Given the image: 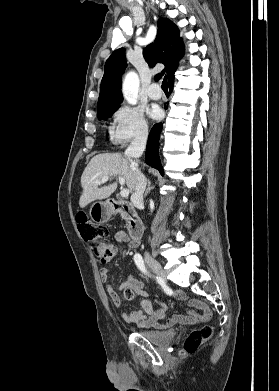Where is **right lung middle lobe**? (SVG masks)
Masks as SVG:
<instances>
[{
    "label": "right lung middle lobe",
    "instance_id": "1",
    "mask_svg": "<svg viewBox=\"0 0 279 391\" xmlns=\"http://www.w3.org/2000/svg\"><path fill=\"white\" fill-rule=\"evenodd\" d=\"M117 109L118 107H113L99 112L98 119L101 120L109 118L114 112H116Z\"/></svg>",
    "mask_w": 279,
    "mask_h": 391
}]
</instances>
